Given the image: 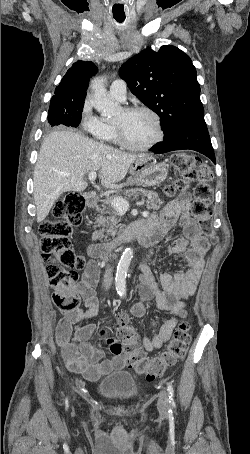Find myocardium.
<instances>
[{
	"label": "myocardium",
	"mask_w": 250,
	"mask_h": 454,
	"mask_svg": "<svg viewBox=\"0 0 250 454\" xmlns=\"http://www.w3.org/2000/svg\"><path fill=\"white\" fill-rule=\"evenodd\" d=\"M122 110L124 112H126V113H132V112H138V111L145 112V113L149 114L153 118V120L155 122V125H156V135H155V137L150 142H148L147 144L142 145V146H137V145H134V144L130 143L127 140L122 127L118 123L114 122L113 126H114V129H115L117 141L123 147H125L126 149H129L131 151L142 152V151H147V150L152 149L153 147H155L157 144H159L163 140L164 131H163L161 118L157 114V112H155L153 109H151L148 106H144V105H133V106L125 107Z\"/></svg>",
	"instance_id": "obj_1"
}]
</instances>
